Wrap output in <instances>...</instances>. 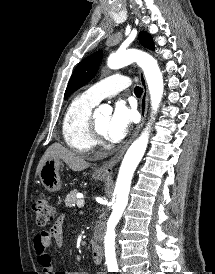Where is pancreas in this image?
Segmentation results:
<instances>
[{
    "label": "pancreas",
    "instance_id": "obj_1",
    "mask_svg": "<svg viewBox=\"0 0 215 274\" xmlns=\"http://www.w3.org/2000/svg\"><path fill=\"white\" fill-rule=\"evenodd\" d=\"M77 193H78L77 190H73L67 195V197L64 201L66 207L71 208L73 206V204L77 202V198H76Z\"/></svg>",
    "mask_w": 215,
    "mask_h": 274
}]
</instances>
